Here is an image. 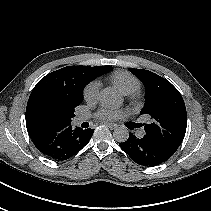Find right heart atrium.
Wrapping results in <instances>:
<instances>
[{
  "label": "right heart atrium",
  "mask_w": 211,
  "mask_h": 211,
  "mask_svg": "<svg viewBox=\"0 0 211 211\" xmlns=\"http://www.w3.org/2000/svg\"><path fill=\"white\" fill-rule=\"evenodd\" d=\"M100 83L97 80H93L88 83L84 90L83 96L87 102H94L99 95Z\"/></svg>",
  "instance_id": "obj_1"
}]
</instances>
